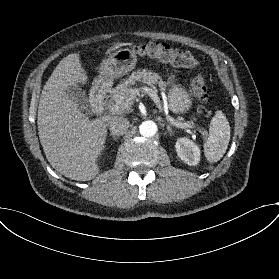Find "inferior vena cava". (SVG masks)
<instances>
[{
    "label": "inferior vena cava",
    "instance_id": "1",
    "mask_svg": "<svg viewBox=\"0 0 279 279\" xmlns=\"http://www.w3.org/2000/svg\"><path fill=\"white\" fill-rule=\"evenodd\" d=\"M129 128V122L120 116H115L113 122L109 125V130L112 135L122 136Z\"/></svg>",
    "mask_w": 279,
    "mask_h": 279
}]
</instances>
